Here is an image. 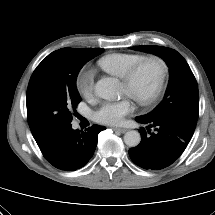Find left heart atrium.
<instances>
[{"label": "left heart atrium", "mask_w": 215, "mask_h": 215, "mask_svg": "<svg viewBox=\"0 0 215 215\" xmlns=\"http://www.w3.org/2000/svg\"><path fill=\"white\" fill-rule=\"evenodd\" d=\"M133 103L129 97L103 103L94 113L95 121L106 125H118L124 117L133 111Z\"/></svg>", "instance_id": "left-heart-atrium-1"}]
</instances>
